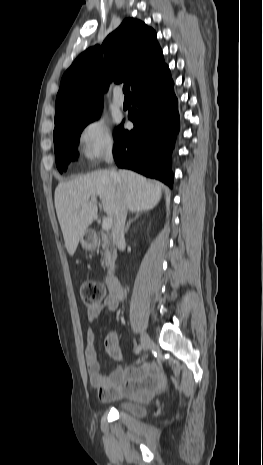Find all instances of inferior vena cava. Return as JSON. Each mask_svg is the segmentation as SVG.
Returning a JSON list of instances; mask_svg holds the SVG:
<instances>
[{
  "mask_svg": "<svg viewBox=\"0 0 263 465\" xmlns=\"http://www.w3.org/2000/svg\"><path fill=\"white\" fill-rule=\"evenodd\" d=\"M105 161L108 164L113 163L112 151L108 150L105 156ZM112 177L117 178V173L114 170L110 171ZM127 204L125 199L120 196L119 208L117 214L114 218V232L116 238V245L118 248H121L125 245V221L127 217Z\"/></svg>",
  "mask_w": 263,
  "mask_h": 465,
  "instance_id": "obj_1",
  "label": "inferior vena cava"
}]
</instances>
